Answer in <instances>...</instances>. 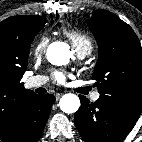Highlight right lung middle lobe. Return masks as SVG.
Returning a JSON list of instances; mask_svg holds the SVG:
<instances>
[{"label": "right lung middle lobe", "instance_id": "obj_1", "mask_svg": "<svg viewBox=\"0 0 142 142\" xmlns=\"http://www.w3.org/2000/svg\"><path fill=\"white\" fill-rule=\"evenodd\" d=\"M46 21L41 22L38 26L35 27V29L31 32L30 36L28 37L27 40V51L29 52L30 50V45L35 37V35L44 27Z\"/></svg>", "mask_w": 142, "mask_h": 142}]
</instances>
